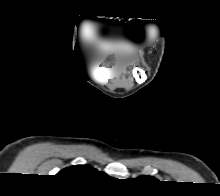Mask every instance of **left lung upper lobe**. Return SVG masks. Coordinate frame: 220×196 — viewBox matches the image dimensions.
Listing matches in <instances>:
<instances>
[{
  "instance_id": "obj_1",
  "label": "left lung upper lobe",
  "mask_w": 220,
  "mask_h": 196,
  "mask_svg": "<svg viewBox=\"0 0 220 196\" xmlns=\"http://www.w3.org/2000/svg\"><path fill=\"white\" fill-rule=\"evenodd\" d=\"M152 179H154V178L147 177V176H141V177H139L137 179H133V180L147 181V180H152Z\"/></svg>"
}]
</instances>
